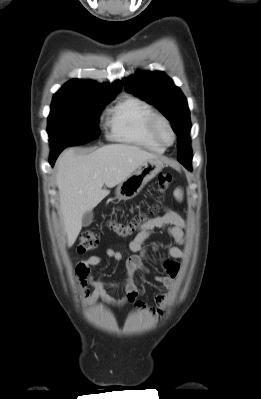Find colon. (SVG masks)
<instances>
[{
  "label": "colon",
  "instance_id": "5ec220e1",
  "mask_svg": "<svg viewBox=\"0 0 261 399\" xmlns=\"http://www.w3.org/2000/svg\"><path fill=\"white\" fill-rule=\"evenodd\" d=\"M174 177L168 172H162L158 175L157 185L158 191L161 194L159 202L150 206L146 211L139 212L131 217L126 223L110 222L109 227L121 238H127L138 231L148 219L157 214L160 208L163 195L166 194L172 187ZM98 244V235L92 229L83 231L79 236L77 251L80 254L92 251Z\"/></svg>",
  "mask_w": 261,
  "mask_h": 399
}]
</instances>
